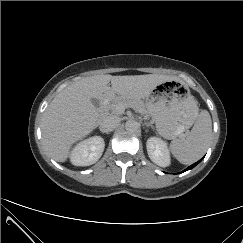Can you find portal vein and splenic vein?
<instances>
[{
    "label": "portal vein and splenic vein",
    "instance_id": "obj_1",
    "mask_svg": "<svg viewBox=\"0 0 243 243\" xmlns=\"http://www.w3.org/2000/svg\"><path fill=\"white\" fill-rule=\"evenodd\" d=\"M125 108L126 107L123 104H121L117 107V110L119 111V113H123L125 111Z\"/></svg>",
    "mask_w": 243,
    "mask_h": 243
}]
</instances>
